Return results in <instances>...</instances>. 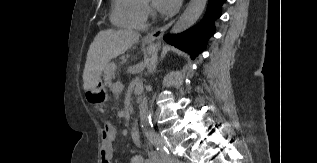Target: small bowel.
<instances>
[{
    "mask_svg": "<svg viewBox=\"0 0 317 163\" xmlns=\"http://www.w3.org/2000/svg\"><path fill=\"white\" fill-rule=\"evenodd\" d=\"M116 131L111 125H105L101 131L102 148L99 153L100 163H111L115 151ZM130 163H163V160L154 152H149L148 158L137 155L131 159Z\"/></svg>",
    "mask_w": 317,
    "mask_h": 163,
    "instance_id": "c3829d8e",
    "label": "small bowel"
}]
</instances>
